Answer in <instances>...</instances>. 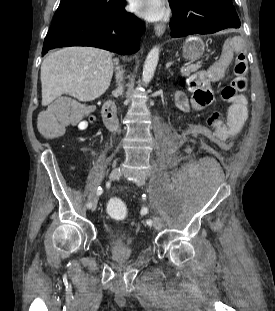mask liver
<instances>
[{"label": "liver", "mask_w": 275, "mask_h": 311, "mask_svg": "<svg viewBox=\"0 0 275 311\" xmlns=\"http://www.w3.org/2000/svg\"><path fill=\"white\" fill-rule=\"evenodd\" d=\"M113 75L112 53L93 47H67L50 53L41 65L42 105L66 94L82 102L103 95Z\"/></svg>", "instance_id": "liver-1"}]
</instances>
